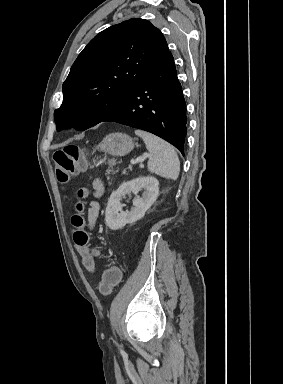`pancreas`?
<instances>
[{"mask_svg":"<svg viewBox=\"0 0 283 384\" xmlns=\"http://www.w3.org/2000/svg\"><path fill=\"white\" fill-rule=\"evenodd\" d=\"M127 170H132V166H129V168H127ZM122 174H126V170H123Z\"/></svg>","mask_w":283,"mask_h":384,"instance_id":"pancreas-1","label":"pancreas"}]
</instances>
